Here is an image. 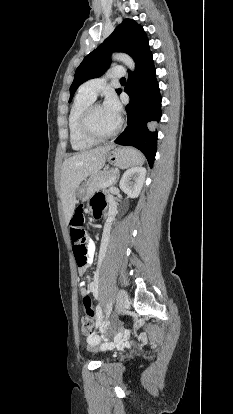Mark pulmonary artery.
I'll return each instance as SVG.
<instances>
[{
    "label": "pulmonary artery",
    "instance_id": "obj_1",
    "mask_svg": "<svg viewBox=\"0 0 233 414\" xmlns=\"http://www.w3.org/2000/svg\"><path fill=\"white\" fill-rule=\"evenodd\" d=\"M125 75V70L116 66L108 70V72L99 78H94L86 81L80 88L82 92L89 95L92 98H96L98 93L103 89L108 79H118Z\"/></svg>",
    "mask_w": 233,
    "mask_h": 414
}]
</instances>
